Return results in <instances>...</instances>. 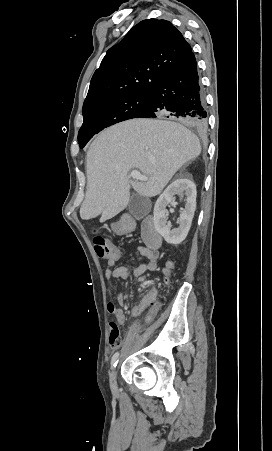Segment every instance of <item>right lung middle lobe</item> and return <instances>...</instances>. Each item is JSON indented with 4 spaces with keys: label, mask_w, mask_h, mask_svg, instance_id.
<instances>
[{
    "label": "right lung middle lobe",
    "mask_w": 272,
    "mask_h": 451,
    "mask_svg": "<svg viewBox=\"0 0 272 451\" xmlns=\"http://www.w3.org/2000/svg\"><path fill=\"white\" fill-rule=\"evenodd\" d=\"M149 94L118 97L83 111V124L78 133L80 148L103 129L138 117L146 108Z\"/></svg>",
    "instance_id": "dd1d6c3e"
}]
</instances>
